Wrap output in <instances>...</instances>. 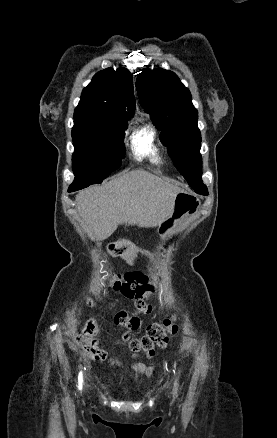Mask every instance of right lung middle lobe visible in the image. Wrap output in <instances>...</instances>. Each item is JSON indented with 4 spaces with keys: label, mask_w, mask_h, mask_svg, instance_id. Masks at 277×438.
I'll use <instances>...</instances> for the list:
<instances>
[{
    "label": "right lung middle lobe",
    "mask_w": 277,
    "mask_h": 438,
    "mask_svg": "<svg viewBox=\"0 0 277 438\" xmlns=\"http://www.w3.org/2000/svg\"><path fill=\"white\" fill-rule=\"evenodd\" d=\"M128 120L110 125L74 122L72 138L75 147V179L72 187L82 189L91 184L101 183L121 166L125 154L124 131Z\"/></svg>",
    "instance_id": "1"
}]
</instances>
